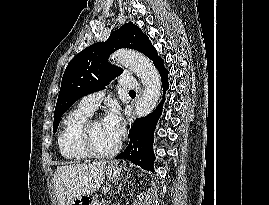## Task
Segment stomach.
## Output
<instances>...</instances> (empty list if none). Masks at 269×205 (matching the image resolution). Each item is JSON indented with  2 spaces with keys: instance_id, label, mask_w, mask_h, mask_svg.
<instances>
[{
  "instance_id": "0dacf381",
  "label": "stomach",
  "mask_w": 269,
  "mask_h": 205,
  "mask_svg": "<svg viewBox=\"0 0 269 205\" xmlns=\"http://www.w3.org/2000/svg\"><path fill=\"white\" fill-rule=\"evenodd\" d=\"M121 167L112 163L107 167L106 174L110 179H118L121 175ZM95 199L90 194H84L74 199L70 205H96Z\"/></svg>"
}]
</instances>
